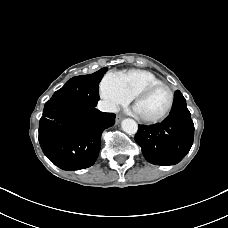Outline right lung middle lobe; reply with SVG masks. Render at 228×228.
Here are the masks:
<instances>
[{"instance_id":"obj_1","label":"right lung middle lobe","mask_w":228,"mask_h":228,"mask_svg":"<svg viewBox=\"0 0 228 228\" xmlns=\"http://www.w3.org/2000/svg\"><path fill=\"white\" fill-rule=\"evenodd\" d=\"M106 71L107 68H102L90 75L71 78L50 100L70 103L80 108L96 107L100 99L99 83Z\"/></svg>"}]
</instances>
